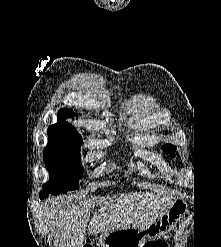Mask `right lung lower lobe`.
Here are the masks:
<instances>
[{"label":"right lung lower lobe","instance_id":"right-lung-lower-lobe-1","mask_svg":"<svg viewBox=\"0 0 221 247\" xmlns=\"http://www.w3.org/2000/svg\"><path fill=\"white\" fill-rule=\"evenodd\" d=\"M49 194H50V193H48V192L41 191V192H40V199L46 198Z\"/></svg>","mask_w":221,"mask_h":247}]
</instances>
